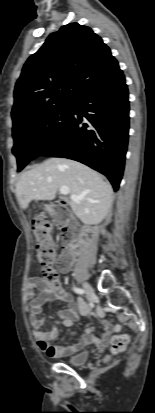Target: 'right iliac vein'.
Instances as JSON below:
<instances>
[{"label": "right iliac vein", "instance_id": "right-iliac-vein-1", "mask_svg": "<svg viewBox=\"0 0 155 413\" xmlns=\"http://www.w3.org/2000/svg\"><path fill=\"white\" fill-rule=\"evenodd\" d=\"M83 288L86 292L87 300L91 301L94 297V290H93L92 286L89 283L85 282V283H83Z\"/></svg>", "mask_w": 155, "mask_h": 413}]
</instances>
